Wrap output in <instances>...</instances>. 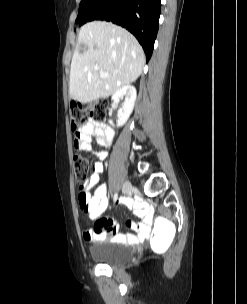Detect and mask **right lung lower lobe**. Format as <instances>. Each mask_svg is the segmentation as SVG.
Masks as SVG:
<instances>
[{
  "label": "right lung lower lobe",
  "mask_w": 247,
  "mask_h": 304,
  "mask_svg": "<svg viewBox=\"0 0 247 304\" xmlns=\"http://www.w3.org/2000/svg\"><path fill=\"white\" fill-rule=\"evenodd\" d=\"M161 0H104L80 25L93 20L111 21L129 30L151 58L156 39Z\"/></svg>",
  "instance_id": "obj_1"
}]
</instances>
